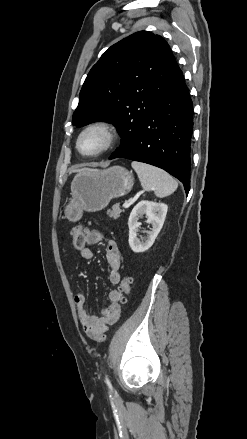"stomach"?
I'll list each match as a JSON object with an SVG mask.
<instances>
[{
	"instance_id": "1",
	"label": "stomach",
	"mask_w": 247,
	"mask_h": 439,
	"mask_svg": "<svg viewBox=\"0 0 247 439\" xmlns=\"http://www.w3.org/2000/svg\"><path fill=\"white\" fill-rule=\"evenodd\" d=\"M132 187V174L121 166L80 172L71 183V198L65 206V215L76 221L83 211H100L111 199L126 195Z\"/></svg>"
}]
</instances>
